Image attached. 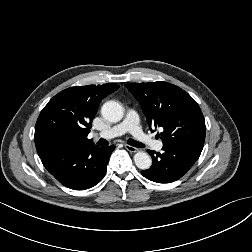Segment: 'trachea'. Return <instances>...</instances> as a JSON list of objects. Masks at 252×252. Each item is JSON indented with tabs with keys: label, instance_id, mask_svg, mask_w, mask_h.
Masks as SVG:
<instances>
[{
	"label": "trachea",
	"instance_id": "trachea-1",
	"mask_svg": "<svg viewBox=\"0 0 252 252\" xmlns=\"http://www.w3.org/2000/svg\"><path fill=\"white\" fill-rule=\"evenodd\" d=\"M127 143H128L129 145H131V146H134V147L144 148V145H143L142 143L137 142V141L134 140V139H128V140H127ZM97 144H98L99 146H107V145H109V142H108L107 140L101 138V139H99V141L97 142Z\"/></svg>",
	"mask_w": 252,
	"mask_h": 252
}]
</instances>
